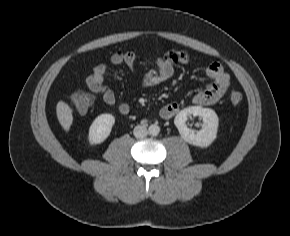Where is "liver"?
<instances>
[{"label":"liver","mask_w":290,"mask_h":236,"mask_svg":"<svg viewBox=\"0 0 290 236\" xmlns=\"http://www.w3.org/2000/svg\"><path fill=\"white\" fill-rule=\"evenodd\" d=\"M56 113L62 128L68 132L73 122V111L64 101H59L56 106Z\"/></svg>","instance_id":"liver-1"}]
</instances>
